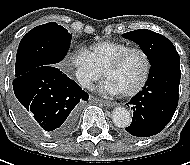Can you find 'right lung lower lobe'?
<instances>
[{
  "mask_svg": "<svg viewBox=\"0 0 190 165\" xmlns=\"http://www.w3.org/2000/svg\"><path fill=\"white\" fill-rule=\"evenodd\" d=\"M14 110L22 125L45 140L67 137L75 128L78 103L88 94L55 66H41L13 81Z\"/></svg>",
  "mask_w": 190,
  "mask_h": 165,
  "instance_id": "1",
  "label": "right lung lower lobe"
}]
</instances>
